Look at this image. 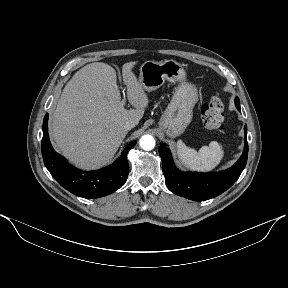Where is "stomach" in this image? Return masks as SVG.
Instances as JSON below:
<instances>
[{
  "label": "stomach",
  "mask_w": 288,
  "mask_h": 288,
  "mask_svg": "<svg viewBox=\"0 0 288 288\" xmlns=\"http://www.w3.org/2000/svg\"><path fill=\"white\" fill-rule=\"evenodd\" d=\"M165 80L179 83L159 121L160 129L174 138L181 135L191 123L193 108L198 101V90L186 80L183 66L174 60L146 61L142 64L139 81L144 90L154 91L160 88Z\"/></svg>",
  "instance_id": "0dacf381"
}]
</instances>
